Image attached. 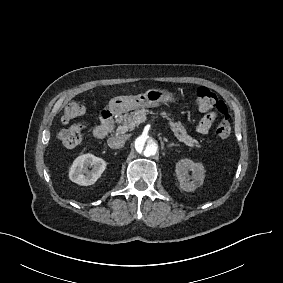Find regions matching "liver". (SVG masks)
<instances>
[{
    "instance_id": "liver-1",
    "label": "liver",
    "mask_w": 283,
    "mask_h": 283,
    "mask_svg": "<svg viewBox=\"0 0 283 283\" xmlns=\"http://www.w3.org/2000/svg\"><path fill=\"white\" fill-rule=\"evenodd\" d=\"M120 91H122V92H126V93H131V92H133V90H128L127 88H121L120 89Z\"/></svg>"
}]
</instances>
